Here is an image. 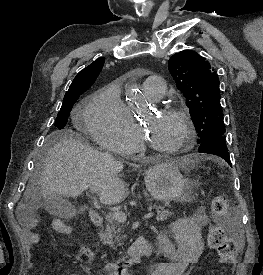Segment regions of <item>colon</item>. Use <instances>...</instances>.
Here are the masks:
<instances>
[{"label":"colon","mask_w":263,"mask_h":275,"mask_svg":"<svg viewBox=\"0 0 263 275\" xmlns=\"http://www.w3.org/2000/svg\"><path fill=\"white\" fill-rule=\"evenodd\" d=\"M228 210V199L223 194L214 195L211 199V213L215 218L223 217ZM54 228L61 234L68 235L71 232L70 226L63 221H56ZM208 244L216 249L220 263L224 264L226 268H232L236 262L237 245L230 239L225 231L215 226L209 230Z\"/></svg>","instance_id":"5ec220e1"}]
</instances>
